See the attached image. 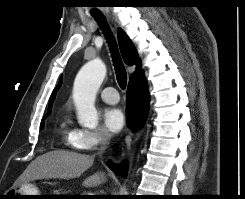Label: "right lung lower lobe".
I'll use <instances>...</instances> for the list:
<instances>
[{"mask_svg":"<svg viewBox=\"0 0 245 199\" xmlns=\"http://www.w3.org/2000/svg\"><path fill=\"white\" fill-rule=\"evenodd\" d=\"M149 104L148 89L146 81L129 83L127 88V120L134 128H139L144 123ZM111 170L120 176H126V167L108 163Z\"/></svg>","mask_w":245,"mask_h":199,"instance_id":"1","label":"right lung lower lobe"}]
</instances>
